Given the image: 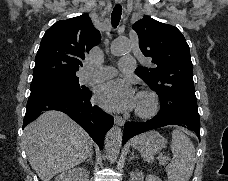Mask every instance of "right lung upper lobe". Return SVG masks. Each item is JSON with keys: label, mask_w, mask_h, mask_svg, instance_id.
I'll return each instance as SVG.
<instances>
[{"label": "right lung upper lobe", "mask_w": 228, "mask_h": 181, "mask_svg": "<svg viewBox=\"0 0 228 181\" xmlns=\"http://www.w3.org/2000/svg\"><path fill=\"white\" fill-rule=\"evenodd\" d=\"M99 41L100 33L87 14L56 22L41 40L33 80L75 75L85 55Z\"/></svg>", "instance_id": "1"}]
</instances>
